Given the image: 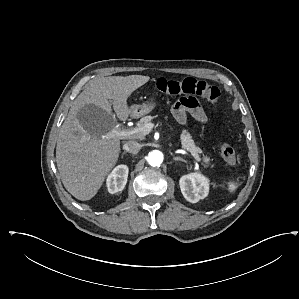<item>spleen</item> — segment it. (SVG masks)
Masks as SVG:
<instances>
[{
    "label": "spleen",
    "instance_id": "1",
    "mask_svg": "<svg viewBox=\"0 0 299 299\" xmlns=\"http://www.w3.org/2000/svg\"><path fill=\"white\" fill-rule=\"evenodd\" d=\"M237 189V184L235 182H229L228 184V190L230 193L235 192V190Z\"/></svg>",
    "mask_w": 299,
    "mask_h": 299
}]
</instances>
